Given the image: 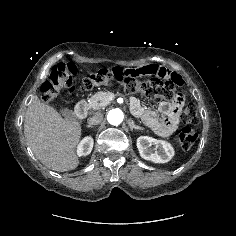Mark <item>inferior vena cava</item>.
Instances as JSON below:
<instances>
[{"mask_svg":"<svg viewBox=\"0 0 236 236\" xmlns=\"http://www.w3.org/2000/svg\"><path fill=\"white\" fill-rule=\"evenodd\" d=\"M102 120H103V115L101 113H97L91 118H88L87 122H88V125L92 126V125L100 124Z\"/></svg>","mask_w":236,"mask_h":236,"instance_id":"obj_1","label":"inferior vena cava"}]
</instances>
